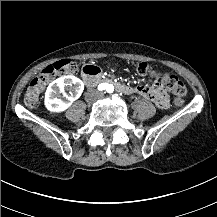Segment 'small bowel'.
I'll use <instances>...</instances> for the list:
<instances>
[{"instance_id":"c3829d8e","label":"small bowel","mask_w":217,"mask_h":217,"mask_svg":"<svg viewBox=\"0 0 217 217\" xmlns=\"http://www.w3.org/2000/svg\"><path fill=\"white\" fill-rule=\"evenodd\" d=\"M135 93L146 97L150 101L157 104L160 108L165 109L168 107V98L162 88L158 85L154 84L149 88L146 86L136 87Z\"/></svg>"}]
</instances>
